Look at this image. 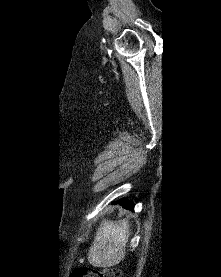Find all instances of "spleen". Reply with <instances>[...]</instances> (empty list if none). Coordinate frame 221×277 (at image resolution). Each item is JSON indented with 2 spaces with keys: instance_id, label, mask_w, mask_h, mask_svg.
<instances>
[{
  "instance_id": "3e777b00",
  "label": "spleen",
  "mask_w": 221,
  "mask_h": 277,
  "mask_svg": "<svg viewBox=\"0 0 221 277\" xmlns=\"http://www.w3.org/2000/svg\"><path fill=\"white\" fill-rule=\"evenodd\" d=\"M130 235L128 220L103 221L91 245L88 260L96 266H114L123 260Z\"/></svg>"
}]
</instances>
